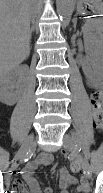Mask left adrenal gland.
Instances as JSON below:
<instances>
[{
    "label": "left adrenal gland",
    "mask_w": 103,
    "mask_h": 193,
    "mask_svg": "<svg viewBox=\"0 0 103 193\" xmlns=\"http://www.w3.org/2000/svg\"><path fill=\"white\" fill-rule=\"evenodd\" d=\"M74 22V31H76V20L73 21Z\"/></svg>",
    "instance_id": "obj_1"
}]
</instances>
